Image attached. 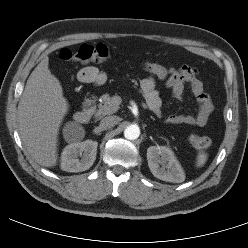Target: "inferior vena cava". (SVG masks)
Returning <instances> with one entry per match:
<instances>
[{"instance_id": "1", "label": "inferior vena cava", "mask_w": 248, "mask_h": 248, "mask_svg": "<svg viewBox=\"0 0 248 248\" xmlns=\"http://www.w3.org/2000/svg\"><path fill=\"white\" fill-rule=\"evenodd\" d=\"M118 123L116 116H107L100 121L101 129H108L115 126Z\"/></svg>"}]
</instances>
